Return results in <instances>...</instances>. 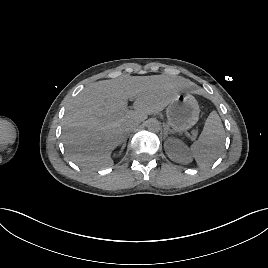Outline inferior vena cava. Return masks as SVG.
Here are the masks:
<instances>
[{
	"label": "inferior vena cava",
	"instance_id": "1",
	"mask_svg": "<svg viewBox=\"0 0 268 268\" xmlns=\"http://www.w3.org/2000/svg\"><path fill=\"white\" fill-rule=\"evenodd\" d=\"M135 129H136V126L132 123H126L122 126L124 136L133 132Z\"/></svg>",
	"mask_w": 268,
	"mask_h": 268
}]
</instances>
